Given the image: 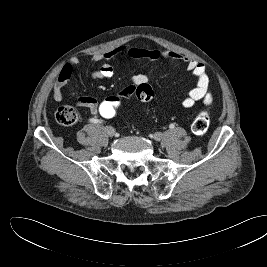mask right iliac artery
<instances>
[{
  "label": "right iliac artery",
  "mask_w": 267,
  "mask_h": 267,
  "mask_svg": "<svg viewBox=\"0 0 267 267\" xmlns=\"http://www.w3.org/2000/svg\"><path fill=\"white\" fill-rule=\"evenodd\" d=\"M91 122H93V123H102L103 121L102 120H98L96 118H92Z\"/></svg>",
  "instance_id": "82829eb1"
}]
</instances>
